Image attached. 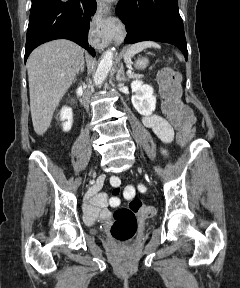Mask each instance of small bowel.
I'll use <instances>...</instances> for the list:
<instances>
[{"label": "small bowel", "mask_w": 240, "mask_h": 288, "mask_svg": "<svg viewBox=\"0 0 240 288\" xmlns=\"http://www.w3.org/2000/svg\"><path fill=\"white\" fill-rule=\"evenodd\" d=\"M143 124L151 129L157 137L164 143H169L173 139V128L169 122L163 117L152 114L144 116ZM103 178H99L91 187L86 195V203L84 205L85 220L88 223H94L100 218H107L110 215L108 206L117 207L120 204L118 197L120 193V179L117 176H112L110 182L113 186V196L108 198L107 194L101 192ZM139 191L145 192L144 185L138 186ZM135 189L132 186H127L124 190V196L130 199L134 196Z\"/></svg>", "instance_id": "obj_1"}]
</instances>
